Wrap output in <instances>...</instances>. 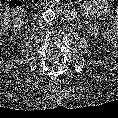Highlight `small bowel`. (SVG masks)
Returning a JSON list of instances; mask_svg holds the SVG:
<instances>
[{"label":"small bowel","mask_w":118,"mask_h":118,"mask_svg":"<svg viewBox=\"0 0 118 118\" xmlns=\"http://www.w3.org/2000/svg\"><path fill=\"white\" fill-rule=\"evenodd\" d=\"M85 13L91 18H95L99 15L106 13L109 9V5L105 0H89L83 6ZM105 36L110 45L115 46L118 41V9L113 21V27L111 30L105 33Z\"/></svg>","instance_id":"c3829d8e"}]
</instances>
